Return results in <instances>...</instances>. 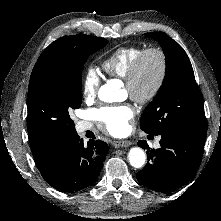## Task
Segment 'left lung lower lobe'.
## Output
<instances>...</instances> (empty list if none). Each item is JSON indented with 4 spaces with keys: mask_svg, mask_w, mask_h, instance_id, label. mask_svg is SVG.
I'll return each instance as SVG.
<instances>
[{
    "mask_svg": "<svg viewBox=\"0 0 221 221\" xmlns=\"http://www.w3.org/2000/svg\"><path fill=\"white\" fill-rule=\"evenodd\" d=\"M206 131L174 127L160 134L161 148L148 150L149 161L137 173L139 183L162 193H170L188 183L200 166ZM138 145L148 147L144 140Z\"/></svg>",
    "mask_w": 221,
    "mask_h": 221,
    "instance_id": "1",
    "label": "left lung lower lobe"
}]
</instances>
